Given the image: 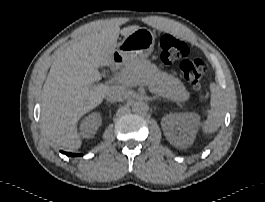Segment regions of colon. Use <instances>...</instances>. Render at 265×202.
Segmentation results:
<instances>
[{
  "instance_id": "5ec220e1",
  "label": "colon",
  "mask_w": 265,
  "mask_h": 202,
  "mask_svg": "<svg viewBox=\"0 0 265 202\" xmlns=\"http://www.w3.org/2000/svg\"><path fill=\"white\" fill-rule=\"evenodd\" d=\"M159 46L162 61L166 63L179 62L186 80L196 90H200V81L206 73L204 61L198 57L190 58L188 45L168 33L161 34Z\"/></svg>"
}]
</instances>
